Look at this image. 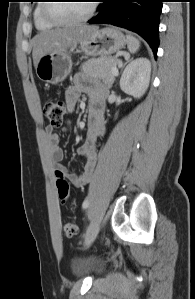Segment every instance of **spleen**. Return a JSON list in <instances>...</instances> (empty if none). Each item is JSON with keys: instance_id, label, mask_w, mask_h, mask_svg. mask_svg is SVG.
I'll use <instances>...</instances> for the list:
<instances>
[{"instance_id": "1", "label": "spleen", "mask_w": 195, "mask_h": 299, "mask_svg": "<svg viewBox=\"0 0 195 299\" xmlns=\"http://www.w3.org/2000/svg\"><path fill=\"white\" fill-rule=\"evenodd\" d=\"M127 47L131 53H136L140 47V41L134 36L127 35Z\"/></svg>"}]
</instances>
